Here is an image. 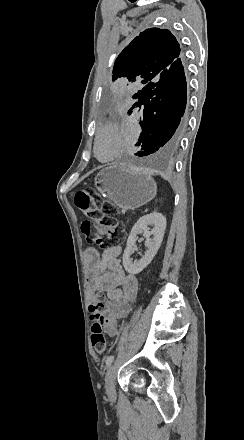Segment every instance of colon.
<instances>
[{"instance_id":"1","label":"colon","mask_w":244,"mask_h":440,"mask_svg":"<svg viewBox=\"0 0 244 440\" xmlns=\"http://www.w3.org/2000/svg\"><path fill=\"white\" fill-rule=\"evenodd\" d=\"M74 203L81 215L87 218V221L81 224V230L89 242H95L102 249H109L115 246L119 239H124L126 222L117 221L114 206L103 202L100 196L95 195L91 189L79 190L74 196ZM88 310L92 321L91 343L96 354L102 355L107 348L102 293L94 295Z\"/></svg>"}]
</instances>
